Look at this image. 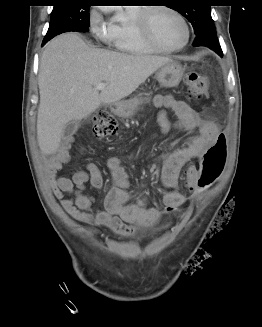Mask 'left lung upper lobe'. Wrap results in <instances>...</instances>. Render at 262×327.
<instances>
[{"label":"left lung upper lobe","mask_w":262,"mask_h":327,"mask_svg":"<svg viewBox=\"0 0 262 327\" xmlns=\"http://www.w3.org/2000/svg\"><path fill=\"white\" fill-rule=\"evenodd\" d=\"M182 2V1H181ZM173 9L182 14L194 28L195 34H199L206 28L213 26L214 22L211 17L210 6L205 4L204 0H194V5H182L179 0L170 1Z\"/></svg>","instance_id":"left-lung-upper-lobe-1"}]
</instances>
